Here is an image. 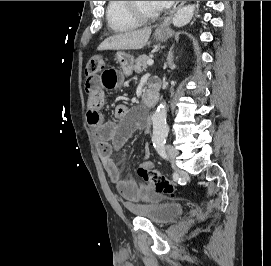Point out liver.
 Wrapping results in <instances>:
<instances>
[{
    "label": "liver",
    "mask_w": 271,
    "mask_h": 266,
    "mask_svg": "<svg viewBox=\"0 0 271 266\" xmlns=\"http://www.w3.org/2000/svg\"><path fill=\"white\" fill-rule=\"evenodd\" d=\"M152 29L150 27L119 33L106 38L98 50H138L148 42Z\"/></svg>",
    "instance_id": "liver-1"
}]
</instances>
